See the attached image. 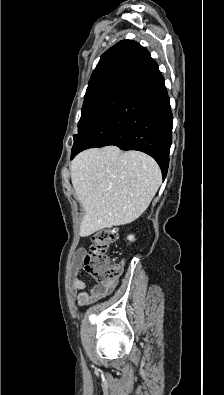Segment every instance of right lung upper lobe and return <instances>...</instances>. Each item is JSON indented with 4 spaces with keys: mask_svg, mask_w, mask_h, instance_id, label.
I'll return each mask as SVG.
<instances>
[{
    "mask_svg": "<svg viewBox=\"0 0 224 395\" xmlns=\"http://www.w3.org/2000/svg\"><path fill=\"white\" fill-rule=\"evenodd\" d=\"M140 47L141 45L139 43L132 40H124L116 43L103 53L92 73L90 81L112 71L120 70Z\"/></svg>",
    "mask_w": 224,
    "mask_h": 395,
    "instance_id": "1",
    "label": "right lung upper lobe"
}]
</instances>
